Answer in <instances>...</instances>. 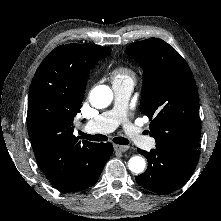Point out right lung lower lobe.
Listing matches in <instances>:
<instances>
[{
	"instance_id": "1",
	"label": "right lung lower lobe",
	"mask_w": 221,
	"mask_h": 221,
	"mask_svg": "<svg viewBox=\"0 0 221 221\" xmlns=\"http://www.w3.org/2000/svg\"><path fill=\"white\" fill-rule=\"evenodd\" d=\"M112 153L113 146L111 143L108 142L98 144L94 154L83 167V176L80 182L67 192H77L95 185L105 163L110 158Z\"/></svg>"
}]
</instances>
